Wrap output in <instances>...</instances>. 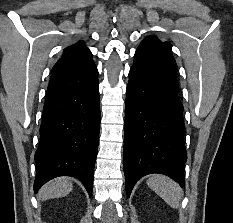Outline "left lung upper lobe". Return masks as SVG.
<instances>
[{"mask_svg": "<svg viewBox=\"0 0 233 223\" xmlns=\"http://www.w3.org/2000/svg\"><path fill=\"white\" fill-rule=\"evenodd\" d=\"M147 38L153 39V40L157 41L159 44H161L162 46H164L166 49L171 50L172 45L170 43H168V42H161V41H159L158 39H156L154 37H147Z\"/></svg>", "mask_w": 233, "mask_h": 223, "instance_id": "left-lung-upper-lobe-1", "label": "left lung upper lobe"}]
</instances>
